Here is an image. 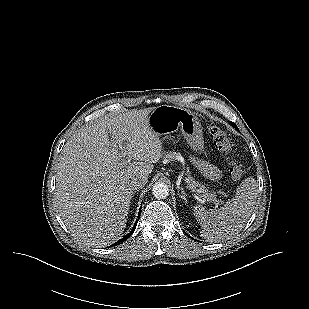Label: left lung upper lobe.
Returning <instances> with one entry per match:
<instances>
[{"label":"left lung upper lobe","mask_w":309,"mask_h":309,"mask_svg":"<svg viewBox=\"0 0 309 309\" xmlns=\"http://www.w3.org/2000/svg\"><path fill=\"white\" fill-rule=\"evenodd\" d=\"M231 125L235 128H237L236 124H234L233 122H231Z\"/></svg>","instance_id":"obj_1"}]
</instances>
